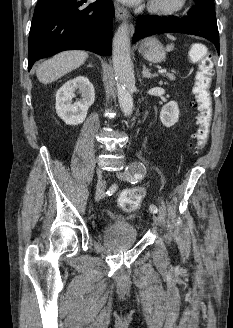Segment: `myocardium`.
<instances>
[{
  "mask_svg": "<svg viewBox=\"0 0 233 328\" xmlns=\"http://www.w3.org/2000/svg\"><path fill=\"white\" fill-rule=\"evenodd\" d=\"M186 5L187 0H151L148 5V9L155 14L172 16L182 12Z\"/></svg>",
  "mask_w": 233,
  "mask_h": 328,
  "instance_id": "obj_1",
  "label": "myocardium"
}]
</instances>
